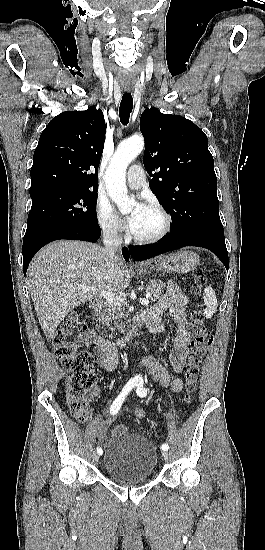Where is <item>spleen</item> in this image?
<instances>
[{
	"mask_svg": "<svg viewBox=\"0 0 265 550\" xmlns=\"http://www.w3.org/2000/svg\"><path fill=\"white\" fill-rule=\"evenodd\" d=\"M203 298L206 304V309L204 310V316L207 319H210L212 315L217 311V307H218L217 298L211 286H208L204 289Z\"/></svg>",
	"mask_w": 265,
	"mask_h": 550,
	"instance_id": "obj_1",
	"label": "spleen"
}]
</instances>
